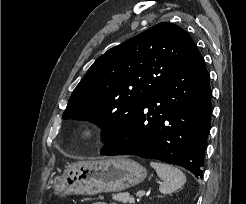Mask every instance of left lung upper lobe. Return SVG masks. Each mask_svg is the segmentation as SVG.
<instances>
[{
    "mask_svg": "<svg viewBox=\"0 0 246 204\" xmlns=\"http://www.w3.org/2000/svg\"><path fill=\"white\" fill-rule=\"evenodd\" d=\"M196 49L189 34L175 24L149 28L94 62L74 89L63 118L102 126L106 142Z\"/></svg>",
    "mask_w": 246,
    "mask_h": 204,
    "instance_id": "5c2ea615",
    "label": "left lung upper lobe"
}]
</instances>
